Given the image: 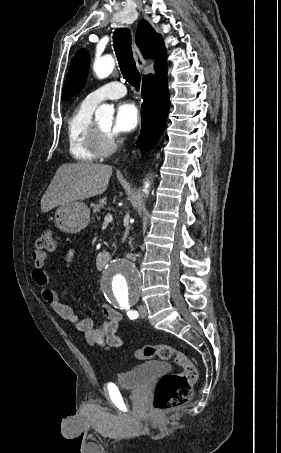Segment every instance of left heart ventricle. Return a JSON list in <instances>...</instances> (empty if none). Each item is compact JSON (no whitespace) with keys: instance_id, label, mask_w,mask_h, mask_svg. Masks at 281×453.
I'll use <instances>...</instances> for the list:
<instances>
[{"instance_id":"1","label":"left heart ventricle","mask_w":281,"mask_h":453,"mask_svg":"<svg viewBox=\"0 0 281 453\" xmlns=\"http://www.w3.org/2000/svg\"><path fill=\"white\" fill-rule=\"evenodd\" d=\"M97 123L103 131H105L106 133H110V129L112 126V119L100 121Z\"/></svg>"}]
</instances>
